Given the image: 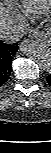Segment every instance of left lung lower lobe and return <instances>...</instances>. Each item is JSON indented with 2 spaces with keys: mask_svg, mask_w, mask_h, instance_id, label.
Masks as SVG:
<instances>
[{
  "mask_svg": "<svg viewBox=\"0 0 51 153\" xmlns=\"http://www.w3.org/2000/svg\"><path fill=\"white\" fill-rule=\"evenodd\" d=\"M47 82L51 86V74L47 77Z\"/></svg>",
  "mask_w": 51,
  "mask_h": 153,
  "instance_id": "obj_1",
  "label": "left lung lower lobe"
}]
</instances>
